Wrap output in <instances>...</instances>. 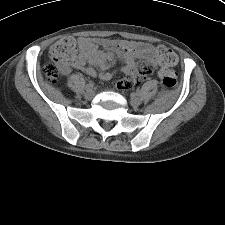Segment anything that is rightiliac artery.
<instances>
[{
  "instance_id": "right-iliac-artery-1",
  "label": "right iliac artery",
  "mask_w": 225,
  "mask_h": 225,
  "mask_svg": "<svg viewBox=\"0 0 225 225\" xmlns=\"http://www.w3.org/2000/svg\"><path fill=\"white\" fill-rule=\"evenodd\" d=\"M93 85H94L93 82L90 81V82L86 85V90H87V89H90V88H93Z\"/></svg>"
}]
</instances>
